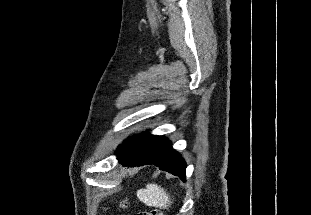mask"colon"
I'll use <instances>...</instances> for the list:
<instances>
[{
    "label": "colon",
    "mask_w": 311,
    "mask_h": 215,
    "mask_svg": "<svg viewBox=\"0 0 311 215\" xmlns=\"http://www.w3.org/2000/svg\"><path fill=\"white\" fill-rule=\"evenodd\" d=\"M126 205H127L126 200L121 201L122 207H126ZM137 215H164V214L158 210H152V211L142 210V211H139Z\"/></svg>",
    "instance_id": "5ec220e1"
}]
</instances>
